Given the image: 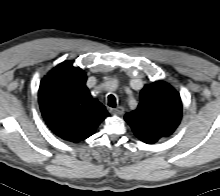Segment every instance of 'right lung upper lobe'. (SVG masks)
Instances as JSON below:
<instances>
[{
	"instance_id": "1",
	"label": "right lung upper lobe",
	"mask_w": 220,
	"mask_h": 196,
	"mask_svg": "<svg viewBox=\"0 0 220 196\" xmlns=\"http://www.w3.org/2000/svg\"><path fill=\"white\" fill-rule=\"evenodd\" d=\"M86 74L65 61L46 75L39 87V105L48 127L74 143L93 135L108 116L106 108L90 95Z\"/></svg>"
}]
</instances>
